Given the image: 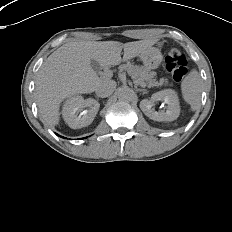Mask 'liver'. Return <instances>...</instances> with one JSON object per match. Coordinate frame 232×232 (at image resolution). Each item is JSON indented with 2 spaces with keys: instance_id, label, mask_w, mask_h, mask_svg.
<instances>
[{
  "instance_id": "obj_1",
  "label": "liver",
  "mask_w": 232,
  "mask_h": 232,
  "mask_svg": "<svg viewBox=\"0 0 232 232\" xmlns=\"http://www.w3.org/2000/svg\"><path fill=\"white\" fill-rule=\"evenodd\" d=\"M157 40L147 39L128 43L118 41H70L54 51L44 62L36 78V99L42 122L51 126L59 123L61 102L76 94L96 90L102 80L91 66L118 65L123 60L139 56Z\"/></svg>"
}]
</instances>
